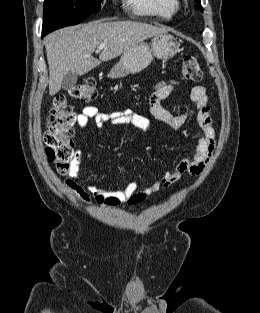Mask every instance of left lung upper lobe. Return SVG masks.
Here are the masks:
<instances>
[{"label":"left lung upper lobe","mask_w":260,"mask_h":313,"mask_svg":"<svg viewBox=\"0 0 260 313\" xmlns=\"http://www.w3.org/2000/svg\"><path fill=\"white\" fill-rule=\"evenodd\" d=\"M195 1L197 2L199 9H200L201 11H203V8L201 7V2H200V0H195Z\"/></svg>","instance_id":"left-lung-upper-lobe-1"}]
</instances>
